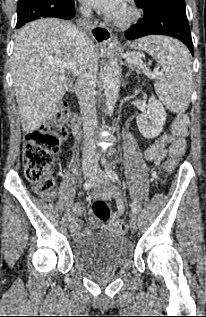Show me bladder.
Returning a JSON list of instances; mask_svg holds the SVG:
<instances>
[{"mask_svg": "<svg viewBox=\"0 0 206 317\" xmlns=\"http://www.w3.org/2000/svg\"><path fill=\"white\" fill-rule=\"evenodd\" d=\"M133 255L132 242L118 234L89 237L75 243L73 257L84 269H117Z\"/></svg>", "mask_w": 206, "mask_h": 317, "instance_id": "1", "label": "bladder"}]
</instances>
